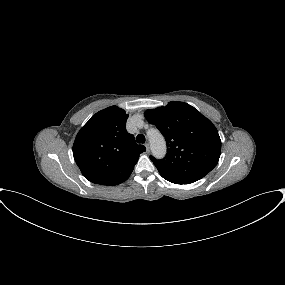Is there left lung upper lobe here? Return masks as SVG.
I'll return each mask as SVG.
<instances>
[{
    "instance_id": "left-lung-upper-lobe-1",
    "label": "left lung upper lobe",
    "mask_w": 285,
    "mask_h": 285,
    "mask_svg": "<svg viewBox=\"0 0 285 285\" xmlns=\"http://www.w3.org/2000/svg\"><path fill=\"white\" fill-rule=\"evenodd\" d=\"M149 123L165 136L167 154L152 162L160 175L199 180L218 163L221 140L212 122L193 106L169 102L167 106L145 112Z\"/></svg>"
}]
</instances>
